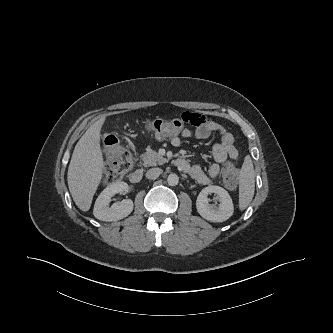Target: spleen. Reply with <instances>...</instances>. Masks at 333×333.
<instances>
[{
	"label": "spleen",
	"instance_id": "3e777b00",
	"mask_svg": "<svg viewBox=\"0 0 333 333\" xmlns=\"http://www.w3.org/2000/svg\"><path fill=\"white\" fill-rule=\"evenodd\" d=\"M239 178V208L244 210L252 201L255 191L254 167L248 156L242 165Z\"/></svg>",
	"mask_w": 333,
	"mask_h": 333
}]
</instances>
